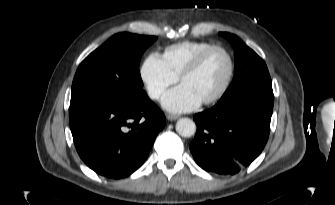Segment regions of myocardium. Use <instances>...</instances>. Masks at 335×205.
<instances>
[{"mask_svg":"<svg viewBox=\"0 0 335 205\" xmlns=\"http://www.w3.org/2000/svg\"><path fill=\"white\" fill-rule=\"evenodd\" d=\"M216 50L221 51V52H223L226 55V57L228 59V62H229V71H228L227 77H226L224 83L222 84V86L220 87V89L213 96H211L210 98L201 101V103L204 104V105H210V104H214V103L218 102L227 93V91H228V89H229V87H230V85L232 83L234 74H235V61H234V58H233L231 52L227 48H225V47H223L221 45H211L208 48H206L203 51H201L186 66V68L181 72V74L179 76L180 82L182 83L183 80L186 77H188L189 75L195 73L201 67V65L203 64L204 60L206 59V57L211 52L216 51Z\"/></svg>","mask_w":335,"mask_h":205,"instance_id":"myocardium-1","label":"myocardium"}]
</instances>
